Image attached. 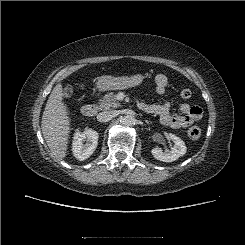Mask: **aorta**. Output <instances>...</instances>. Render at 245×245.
I'll use <instances>...</instances> for the list:
<instances>
[{
  "instance_id": "obj_1",
  "label": "aorta",
  "mask_w": 245,
  "mask_h": 245,
  "mask_svg": "<svg viewBox=\"0 0 245 245\" xmlns=\"http://www.w3.org/2000/svg\"><path fill=\"white\" fill-rule=\"evenodd\" d=\"M135 117L132 116V115H126L122 118L121 120V123L124 125V126H132L135 124Z\"/></svg>"
}]
</instances>
